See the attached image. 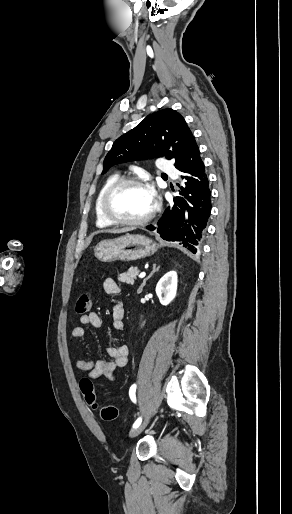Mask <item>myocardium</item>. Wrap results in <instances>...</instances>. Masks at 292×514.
<instances>
[{"label":"myocardium","mask_w":292,"mask_h":514,"mask_svg":"<svg viewBox=\"0 0 292 514\" xmlns=\"http://www.w3.org/2000/svg\"><path fill=\"white\" fill-rule=\"evenodd\" d=\"M125 186H137V187L145 188L142 181H140L138 178H135V177H125V178L117 179L116 181L111 183L102 193V196L100 198V211L103 214V216L112 224L123 225V226L142 225V224L146 223L147 221H149L150 218L152 217L154 210H155V203L152 204L151 209L148 211V213L145 216L138 218V219H133V220L121 219V218L115 216L109 210L108 200H109L110 195L114 191L118 190L119 188L125 187Z\"/></svg>","instance_id":"obj_1"}]
</instances>
